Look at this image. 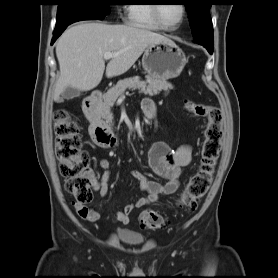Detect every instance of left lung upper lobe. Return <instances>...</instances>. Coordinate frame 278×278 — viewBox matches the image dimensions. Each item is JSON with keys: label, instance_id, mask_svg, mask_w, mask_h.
<instances>
[{"label": "left lung upper lobe", "instance_id": "1", "mask_svg": "<svg viewBox=\"0 0 278 278\" xmlns=\"http://www.w3.org/2000/svg\"><path fill=\"white\" fill-rule=\"evenodd\" d=\"M211 0H186L193 40L203 46L213 47V25L209 15Z\"/></svg>", "mask_w": 278, "mask_h": 278}]
</instances>
